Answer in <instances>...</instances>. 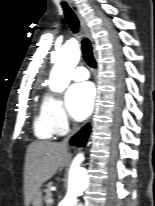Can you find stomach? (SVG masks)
<instances>
[{"label":"stomach","instance_id":"0dacf381","mask_svg":"<svg viewBox=\"0 0 155 206\" xmlns=\"http://www.w3.org/2000/svg\"><path fill=\"white\" fill-rule=\"evenodd\" d=\"M31 203L32 206H42V192L40 190L33 197Z\"/></svg>","mask_w":155,"mask_h":206}]
</instances>
